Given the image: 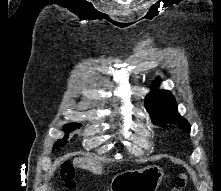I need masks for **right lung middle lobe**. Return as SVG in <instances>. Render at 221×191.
<instances>
[{
  "instance_id": "1",
  "label": "right lung middle lobe",
  "mask_w": 221,
  "mask_h": 191,
  "mask_svg": "<svg viewBox=\"0 0 221 191\" xmlns=\"http://www.w3.org/2000/svg\"><path fill=\"white\" fill-rule=\"evenodd\" d=\"M78 127H81V124H76V123H72V124H67L63 127V130H65V133L68 134L70 133L71 131H73L74 129L78 128ZM68 138V135H65V137L62 139V140H59L55 145H54V148L56 146L60 147V146H64L67 142V139Z\"/></svg>"
}]
</instances>
